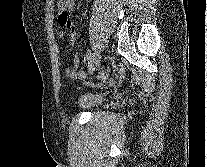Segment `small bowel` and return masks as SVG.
I'll list each match as a JSON object with an SVG mask.
<instances>
[{"instance_id": "1", "label": "small bowel", "mask_w": 207, "mask_h": 167, "mask_svg": "<svg viewBox=\"0 0 207 167\" xmlns=\"http://www.w3.org/2000/svg\"><path fill=\"white\" fill-rule=\"evenodd\" d=\"M76 0H58V23L69 31V46L72 47L76 39V27L70 20L69 14L73 12L75 8ZM60 38H64V32L59 33ZM80 57L78 54L73 56V67H66L65 74L73 80L84 79L86 73L80 70ZM89 59L87 54L82 57V61L87 62Z\"/></svg>"}]
</instances>
